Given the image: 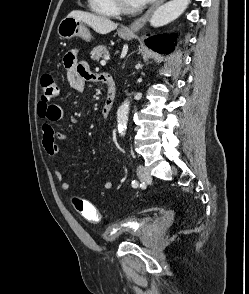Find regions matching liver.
Listing matches in <instances>:
<instances>
[{"label": "liver", "mask_w": 249, "mask_h": 294, "mask_svg": "<svg viewBox=\"0 0 249 294\" xmlns=\"http://www.w3.org/2000/svg\"><path fill=\"white\" fill-rule=\"evenodd\" d=\"M69 17H73L91 27L95 32L99 34H107L115 30L118 26L110 19L98 16L89 12L74 10L69 13Z\"/></svg>", "instance_id": "obj_1"}]
</instances>
